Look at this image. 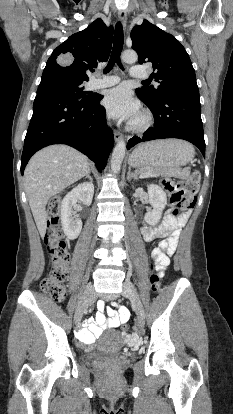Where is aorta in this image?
I'll list each match as a JSON object with an SVG mask.
<instances>
[{
	"label": "aorta",
	"mask_w": 233,
	"mask_h": 414,
	"mask_svg": "<svg viewBox=\"0 0 233 414\" xmlns=\"http://www.w3.org/2000/svg\"><path fill=\"white\" fill-rule=\"evenodd\" d=\"M122 60L125 63L133 64L138 60V55L133 50H126L122 53ZM126 144L124 140H119L113 150L111 157V170L114 174H118L121 169L123 158L125 156Z\"/></svg>",
	"instance_id": "762f6f07"
}]
</instances>
